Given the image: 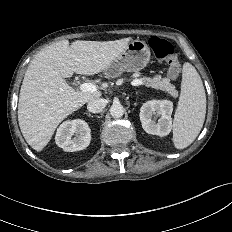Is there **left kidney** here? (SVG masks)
<instances>
[{"mask_svg":"<svg viewBox=\"0 0 232 232\" xmlns=\"http://www.w3.org/2000/svg\"><path fill=\"white\" fill-rule=\"evenodd\" d=\"M173 103L169 100H151L145 102L140 108V121L146 133L166 136L172 129L171 114ZM153 115L159 116L158 123Z\"/></svg>","mask_w":232,"mask_h":232,"instance_id":"5707ae66","label":"left kidney"}]
</instances>
